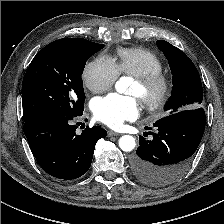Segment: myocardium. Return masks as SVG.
<instances>
[{
    "instance_id": "f54148a6",
    "label": "myocardium",
    "mask_w": 224,
    "mask_h": 224,
    "mask_svg": "<svg viewBox=\"0 0 224 224\" xmlns=\"http://www.w3.org/2000/svg\"><path fill=\"white\" fill-rule=\"evenodd\" d=\"M135 81L142 89L140 97L147 109L163 107L172 95V78L163 71L135 77Z\"/></svg>"
}]
</instances>
